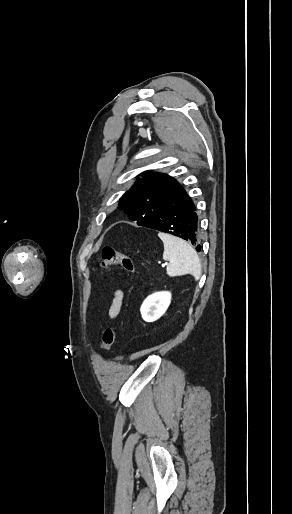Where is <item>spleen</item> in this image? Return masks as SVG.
<instances>
[{"mask_svg": "<svg viewBox=\"0 0 292 514\" xmlns=\"http://www.w3.org/2000/svg\"><path fill=\"white\" fill-rule=\"evenodd\" d=\"M164 244L163 260L169 262L167 266L168 276H185L191 274L195 280L201 276L200 260L192 246L181 238L171 234H158Z\"/></svg>", "mask_w": 292, "mask_h": 514, "instance_id": "spleen-1", "label": "spleen"}]
</instances>
